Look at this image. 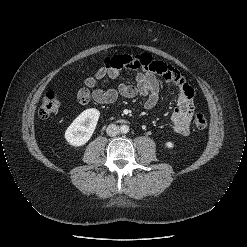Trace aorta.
Listing matches in <instances>:
<instances>
[{
	"instance_id": "762f6f07",
	"label": "aorta",
	"mask_w": 247,
	"mask_h": 247,
	"mask_svg": "<svg viewBox=\"0 0 247 247\" xmlns=\"http://www.w3.org/2000/svg\"><path fill=\"white\" fill-rule=\"evenodd\" d=\"M120 132L123 134H127L129 132V126L128 125L120 126Z\"/></svg>"
}]
</instances>
